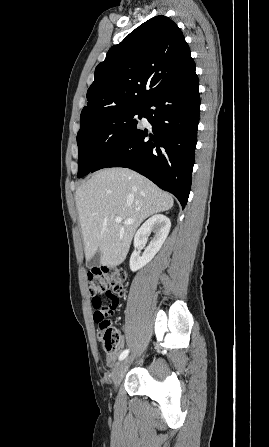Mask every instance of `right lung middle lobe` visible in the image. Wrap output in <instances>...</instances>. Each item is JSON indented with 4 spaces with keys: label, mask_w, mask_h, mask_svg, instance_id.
<instances>
[{
    "label": "right lung middle lobe",
    "mask_w": 269,
    "mask_h": 447,
    "mask_svg": "<svg viewBox=\"0 0 269 447\" xmlns=\"http://www.w3.org/2000/svg\"><path fill=\"white\" fill-rule=\"evenodd\" d=\"M144 104L106 112L81 125L77 134L78 173L81 178L90 173L98 162L137 128Z\"/></svg>",
    "instance_id": "dd1d6c3e"
}]
</instances>
